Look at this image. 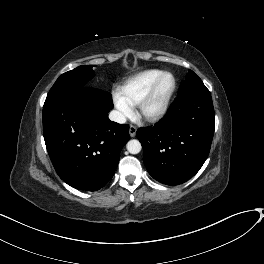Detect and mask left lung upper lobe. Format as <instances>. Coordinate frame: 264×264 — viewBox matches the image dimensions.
<instances>
[{
  "label": "left lung upper lobe",
  "mask_w": 264,
  "mask_h": 264,
  "mask_svg": "<svg viewBox=\"0 0 264 264\" xmlns=\"http://www.w3.org/2000/svg\"><path fill=\"white\" fill-rule=\"evenodd\" d=\"M205 88L206 86L203 84L202 80L192 70H189L185 81L179 87L178 95L187 91Z\"/></svg>",
  "instance_id": "obj_1"
}]
</instances>
